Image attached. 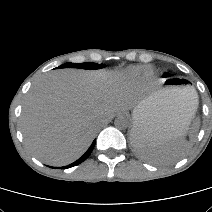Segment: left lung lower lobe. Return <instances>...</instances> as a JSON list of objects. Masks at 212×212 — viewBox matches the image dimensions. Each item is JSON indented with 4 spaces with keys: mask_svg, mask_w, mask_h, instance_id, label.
Returning a JSON list of instances; mask_svg holds the SVG:
<instances>
[{
    "mask_svg": "<svg viewBox=\"0 0 212 212\" xmlns=\"http://www.w3.org/2000/svg\"><path fill=\"white\" fill-rule=\"evenodd\" d=\"M142 131L135 130L132 135V143L138 153L144 155L146 158L150 157V153L152 152L151 147H142L140 142V134Z\"/></svg>",
    "mask_w": 212,
    "mask_h": 212,
    "instance_id": "obj_1",
    "label": "left lung lower lobe"
}]
</instances>
